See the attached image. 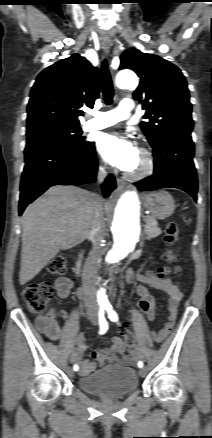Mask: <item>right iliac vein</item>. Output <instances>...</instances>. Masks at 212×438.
<instances>
[{"label": "right iliac vein", "instance_id": "63e3f726", "mask_svg": "<svg viewBox=\"0 0 212 438\" xmlns=\"http://www.w3.org/2000/svg\"><path fill=\"white\" fill-rule=\"evenodd\" d=\"M93 321L95 322L94 319H93ZM68 373H69V375L73 376V371L70 368L68 369Z\"/></svg>", "mask_w": 212, "mask_h": 438}]
</instances>
